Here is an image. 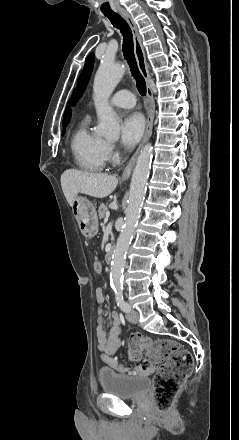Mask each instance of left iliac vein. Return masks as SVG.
<instances>
[{
	"mask_svg": "<svg viewBox=\"0 0 239 440\" xmlns=\"http://www.w3.org/2000/svg\"><path fill=\"white\" fill-rule=\"evenodd\" d=\"M126 318L129 322L133 324H137L139 322V314L134 310H130L129 312H127Z\"/></svg>",
	"mask_w": 239,
	"mask_h": 440,
	"instance_id": "obj_1",
	"label": "left iliac vein"
}]
</instances>
